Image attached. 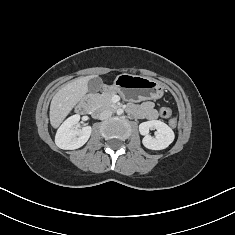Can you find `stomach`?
I'll use <instances>...</instances> for the list:
<instances>
[{"label":"stomach","instance_id":"0dacf381","mask_svg":"<svg viewBox=\"0 0 235 235\" xmlns=\"http://www.w3.org/2000/svg\"><path fill=\"white\" fill-rule=\"evenodd\" d=\"M108 90L119 93L127 101L140 102L161 98L164 86L150 77L124 73L116 77Z\"/></svg>","mask_w":235,"mask_h":235}]
</instances>
